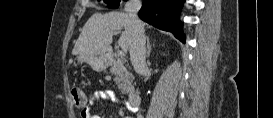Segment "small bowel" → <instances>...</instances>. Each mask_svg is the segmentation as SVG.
<instances>
[{
	"label": "small bowel",
	"mask_w": 273,
	"mask_h": 118,
	"mask_svg": "<svg viewBox=\"0 0 273 118\" xmlns=\"http://www.w3.org/2000/svg\"><path fill=\"white\" fill-rule=\"evenodd\" d=\"M116 98L114 95L107 90H97L95 91L87 100V104L82 108L81 116L82 118H94L92 115L93 107L101 101L113 102ZM123 104V102H121Z\"/></svg>",
	"instance_id": "small-bowel-1"
}]
</instances>
